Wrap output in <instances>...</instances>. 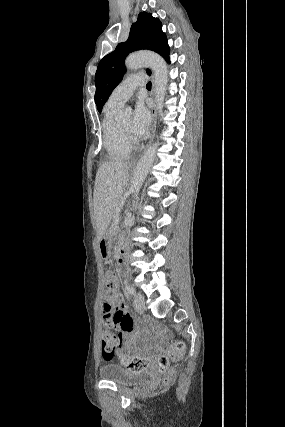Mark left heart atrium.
<instances>
[{
  "label": "left heart atrium",
  "instance_id": "1",
  "mask_svg": "<svg viewBox=\"0 0 285 427\" xmlns=\"http://www.w3.org/2000/svg\"><path fill=\"white\" fill-rule=\"evenodd\" d=\"M150 112L142 100L138 101L133 116V133L137 138L147 135L150 125Z\"/></svg>",
  "mask_w": 285,
  "mask_h": 427
}]
</instances>
